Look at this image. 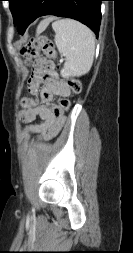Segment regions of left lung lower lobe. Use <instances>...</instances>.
Wrapping results in <instances>:
<instances>
[{"mask_svg":"<svg viewBox=\"0 0 133 253\" xmlns=\"http://www.w3.org/2000/svg\"><path fill=\"white\" fill-rule=\"evenodd\" d=\"M104 0H27L20 14L17 30L24 34L36 18L55 15L73 18L87 25L98 37Z\"/></svg>","mask_w":133,"mask_h":253,"instance_id":"1","label":"left lung lower lobe"}]
</instances>
